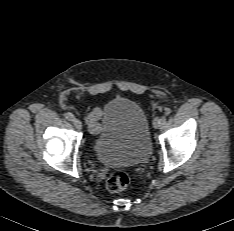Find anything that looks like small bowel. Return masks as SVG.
Listing matches in <instances>:
<instances>
[{"mask_svg": "<svg viewBox=\"0 0 234 231\" xmlns=\"http://www.w3.org/2000/svg\"><path fill=\"white\" fill-rule=\"evenodd\" d=\"M104 116V110L102 108L94 109L87 118L89 130L92 134L97 135L100 131L99 120Z\"/></svg>", "mask_w": 234, "mask_h": 231, "instance_id": "small-bowel-1", "label": "small bowel"}]
</instances>
